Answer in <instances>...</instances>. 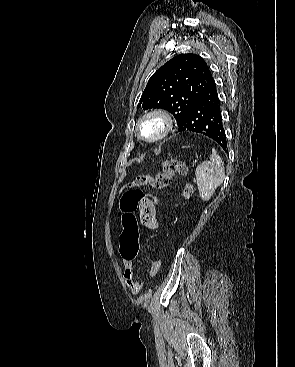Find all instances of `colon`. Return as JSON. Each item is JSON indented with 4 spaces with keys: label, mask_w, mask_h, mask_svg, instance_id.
<instances>
[{
    "label": "colon",
    "mask_w": 295,
    "mask_h": 367,
    "mask_svg": "<svg viewBox=\"0 0 295 367\" xmlns=\"http://www.w3.org/2000/svg\"><path fill=\"white\" fill-rule=\"evenodd\" d=\"M187 173L188 167L186 163L176 159H168L162 163V167L157 173L138 176L124 186L120 197L123 226L121 245L122 252L126 257H133L138 251V227L134 212L143 197L142 188L163 189L170 184L174 175H186ZM192 193L193 186L187 183L183 188L182 197L188 199ZM148 198L154 206L161 205V200L163 199L158 193H150ZM152 266L157 269L159 262L154 261Z\"/></svg>",
    "instance_id": "5ec220e1"
}]
</instances>
